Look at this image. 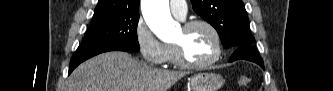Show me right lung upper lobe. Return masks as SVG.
I'll use <instances>...</instances> for the list:
<instances>
[{
    "label": "right lung upper lobe",
    "instance_id": "right-lung-upper-lobe-1",
    "mask_svg": "<svg viewBox=\"0 0 333 91\" xmlns=\"http://www.w3.org/2000/svg\"><path fill=\"white\" fill-rule=\"evenodd\" d=\"M124 13H139V0H99L93 18Z\"/></svg>",
    "mask_w": 333,
    "mask_h": 91
}]
</instances>
